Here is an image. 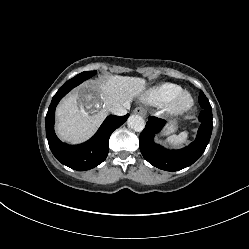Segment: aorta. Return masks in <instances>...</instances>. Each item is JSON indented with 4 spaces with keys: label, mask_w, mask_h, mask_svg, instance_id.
Listing matches in <instances>:
<instances>
[{
    "label": "aorta",
    "mask_w": 249,
    "mask_h": 249,
    "mask_svg": "<svg viewBox=\"0 0 249 249\" xmlns=\"http://www.w3.org/2000/svg\"><path fill=\"white\" fill-rule=\"evenodd\" d=\"M127 124L131 129L137 132H141L145 127V121L139 115H131L127 120Z\"/></svg>",
    "instance_id": "aorta-1"
}]
</instances>
